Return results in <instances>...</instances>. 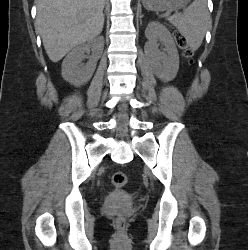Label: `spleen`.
Returning a JSON list of instances; mask_svg holds the SVG:
<instances>
[{"instance_id": "3e777b00", "label": "spleen", "mask_w": 248, "mask_h": 250, "mask_svg": "<svg viewBox=\"0 0 248 250\" xmlns=\"http://www.w3.org/2000/svg\"><path fill=\"white\" fill-rule=\"evenodd\" d=\"M167 19L186 38L187 44L193 50L201 46L211 24L206 0H194L182 14H174Z\"/></svg>"}]
</instances>
